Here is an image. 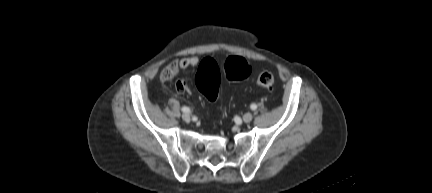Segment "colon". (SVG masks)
I'll list each match as a JSON object with an SVG mask.
<instances>
[{"mask_svg":"<svg viewBox=\"0 0 432 193\" xmlns=\"http://www.w3.org/2000/svg\"><path fill=\"white\" fill-rule=\"evenodd\" d=\"M176 63L169 64L162 72L163 80H170L176 73ZM251 63L242 57H229L222 66L223 75L230 80L247 78L251 73ZM221 79V70L218 64L210 58L203 60L196 75V85L200 92L211 102H214L218 95V88ZM275 77L269 71L261 72L257 78V84L264 88H271L274 85Z\"/></svg>","mask_w":432,"mask_h":193,"instance_id":"1","label":"colon"}]
</instances>
